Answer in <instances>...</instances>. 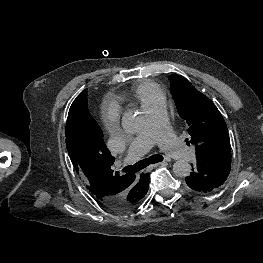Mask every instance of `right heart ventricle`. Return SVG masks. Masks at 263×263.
I'll return each instance as SVG.
<instances>
[{"mask_svg": "<svg viewBox=\"0 0 263 263\" xmlns=\"http://www.w3.org/2000/svg\"><path fill=\"white\" fill-rule=\"evenodd\" d=\"M132 97L139 102L142 107H145L163 98V93L160 86L155 82L142 81L132 88Z\"/></svg>", "mask_w": 263, "mask_h": 263, "instance_id": "1", "label": "right heart ventricle"}]
</instances>
